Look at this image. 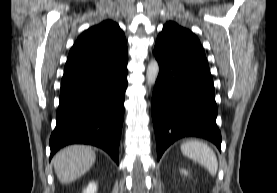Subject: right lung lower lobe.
I'll return each mask as SVG.
<instances>
[{
    "instance_id": "1",
    "label": "right lung lower lobe",
    "mask_w": 277,
    "mask_h": 193,
    "mask_svg": "<svg viewBox=\"0 0 277 193\" xmlns=\"http://www.w3.org/2000/svg\"><path fill=\"white\" fill-rule=\"evenodd\" d=\"M128 54L94 70L63 76L51 157L63 146L89 144L119 164Z\"/></svg>"
}]
</instances>
